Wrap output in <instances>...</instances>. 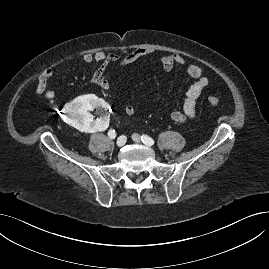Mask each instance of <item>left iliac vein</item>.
Here are the masks:
<instances>
[{"mask_svg": "<svg viewBox=\"0 0 269 269\" xmlns=\"http://www.w3.org/2000/svg\"><path fill=\"white\" fill-rule=\"evenodd\" d=\"M132 139L136 142V143H141V137L138 134H133L132 135Z\"/></svg>", "mask_w": 269, "mask_h": 269, "instance_id": "4c4485c4", "label": "left iliac vein"}]
</instances>
